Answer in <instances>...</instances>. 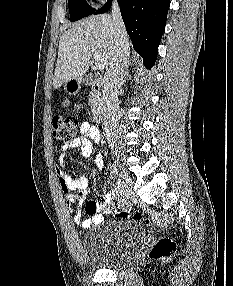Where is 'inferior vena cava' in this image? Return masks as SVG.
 Returning <instances> with one entry per match:
<instances>
[{
  "instance_id": "602c4592",
  "label": "inferior vena cava",
  "mask_w": 233,
  "mask_h": 286,
  "mask_svg": "<svg viewBox=\"0 0 233 286\" xmlns=\"http://www.w3.org/2000/svg\"><path fill=\"white\" fill-rule=\"evenodd\" d=\"M112 19L116 31V49L115 56L104 76L103 101L105 129L110 134V139L113 140L119 124L118 94L124 82L129 57V46L124 38L125 27L116 0L112 3Z\"/></svg>"
}]
</instances>
